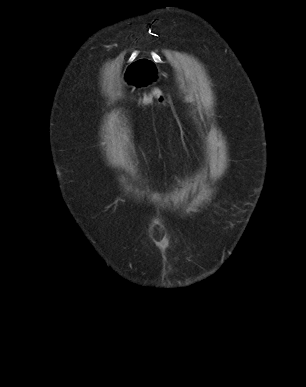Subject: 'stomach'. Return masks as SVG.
<instances>
[{
    "label": "stomach",
    "instance_id": "0dacf381",
    "mask_svg": "<svg viewBox=\"0 0 306 387\" xmlns=\"http://www.w3.org/2000/svg\"><path fill=\"white\" fill-rule=\"evenodd\" d=\"M159 59H140L132 61L131 66H124L123 72L129 82L130 91H144L149 82H163L162 68Z\"/></svg>",
    "mask_w": 306,
    "mask_h": 387
}]
</instances>
